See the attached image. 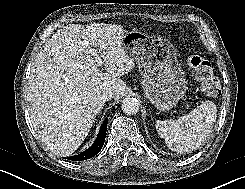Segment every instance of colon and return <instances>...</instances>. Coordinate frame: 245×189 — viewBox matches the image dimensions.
Wrapping results in <instances>:
<instances>
[{
  "instance_id": "colon-1",
  "label": "colon",
  "mask_w": 245,
  "mask_h": 189,
  "mask_svg": "<svg viewBox=\"0 0 245 189\" xmlns=\"http://www.w3.org/2000/svg\"><path fill=\"white\" fill-rule=\"evenodd\" d=\"M190 68L195 73L202 86L211 93H217L220 88L218 78L215 76L212 65L199 56H191L188 59Z\"/></svg>"
}]
</instances>
